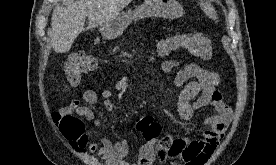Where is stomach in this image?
I'll use <instances>...</instances> for the list:
<instances>
[{
  "mask_svg": "<svg viewBox=\"0 0 276 165\" xmlns=\"http://www.w3.org/2000/svg\"><path fill=\"white\" fill-rule=\"evenodd\" d=\"M183 14V7L177 0H145L134 10L122 12L105 23L101 26L100 32L103 38L114 39L120 36L132 21L146 17L176 19Z\"/></svg>",
  "mask_w": 276,
  "mask_h": 165,
  "instance_id": "obj_1",
  "label": "stomach"
}]
</instances>
